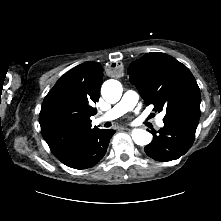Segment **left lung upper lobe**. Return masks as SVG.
Returning a JSON list of instances; mask_svg holds the SVG:
<instances>
[{"instance_id": "obj_1", "label": "left lung upper lobe", "mask_w": 221, "mask_h": 221, "mask_svg": "<svg viewBox=\"0 0 221 221\" xmlns=\"http://www.w3.org/2000/svg\"><path fill=\"white\" fill-rule=\"evenodd\" d=\"M128 75L147 106L166 110L163 121L200 118V89L190 70L175 58L160 52L145 54L131 63Z\"/></svg>"}]
</instances>
